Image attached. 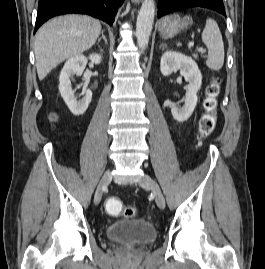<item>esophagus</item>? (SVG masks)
<instances>
[{
    "mask_svg": "<svg viewBox=\"0 0 265 269\" xmlns=\"http://www.w3.org/2000/svg\"><path fill=\"white\" fill-rule=\"evenodd\" d=\"M142 0H132L133 3L139 4Z\"/></svg>",
    "mask_w": 265,
    "mask_h": 269,
    "instance_id": "obj_1",
    "label": "esophagus"
}]
</instances>
